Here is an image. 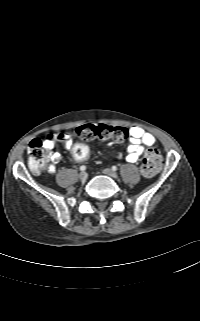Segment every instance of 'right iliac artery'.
Masks as SVG:
<instances>
[{"label": "right iliac artery", "mask_w": 200, "mask_h": 321, "mask_svg": "<svg viewBox=\"0 0 200 321\" xmlns=\"http://www.w3.org/2000/svg\"><path fill=\"white\" fill-rule=\"evenodd\" d=\"M80 170H81V171H85V170H86V166L82 165V166L80 167Z\"/></svg>", "instance_id": "1"}]
</instances>
